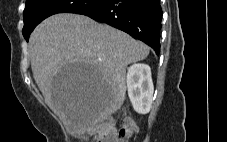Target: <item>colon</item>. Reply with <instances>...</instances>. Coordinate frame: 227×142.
<instances>
[{"label":"colon","mask_w":227,"mask_h":142,"mask_svg":"<svg viewBox=\"0 0 227 142\" xmlns=\"http://www.w3.org/2000/svg\"><path fill=\"white\" fill-rule=\"evenodd\" d=\"M136 132V124L132 118H125L118 128L106 127L100 133L97 142H124Z\"/></svg>","instance_id":"obj_1"}]
</instances>
